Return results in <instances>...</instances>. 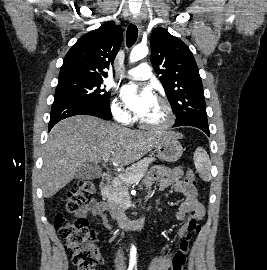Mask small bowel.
I'll list each match as a JSON object with an SVG mask.
<instances>
[{
  "instance_id": "obj_1",
  "label": "small bowel",
  "mask_w": 267,
  "mask_h": 270,
  "mask_svg": "<svg viewBox=\"0 0 267 270\" xmlns=\"http://www.w3.org/2000/svg\"><path fill=\"white\" fill-rule=\"evenodd\" d=\"M182 177L183 172L180 168L167 169L157 166L152 169L145 181L148 186L158 182V189L160 191H164L169 186H173L174 190L184 197L183 202L176 212V218L180 221H184L182 226L178 229V235L183 241L188 234V224L190 220L193 218L197 220L201 219L204 215V208L198 199L196 187L186 184ZM106 210L107 207L103 202L91 200L77 210L76 217L85 220H87L89 215L98 217L102 229H110L111 222L106 214ZM172 256V254L154 256L151 261V270H168Z\"/></svg>"
}]
</instances>
